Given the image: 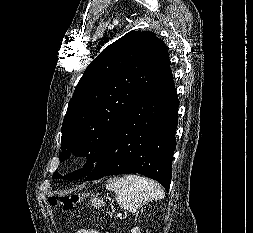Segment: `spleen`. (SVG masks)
I'll return each instance as SVG.
<instances>
[{"label": "spleen", "instance_id": "spleen-1", "mask_svg": "<svg viewBox=\"0 0 253 233\" xmlns=\"http://www.w3.org/2000/svg\"><path fill=\"white\" fill-rule=\"evenodd\" d=\"M106 189L114 191L117 203L132 213L149 201L161 200L165 196L164 190L157 182L137 175L111 179Z\"/></svg>", "mask_w": 253, "mask_h": 233}]
</instances>
